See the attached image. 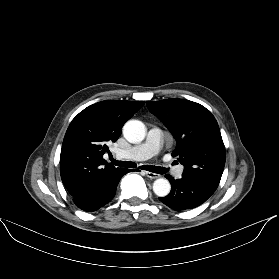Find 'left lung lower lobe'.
Returning a JSON list of instances; mask_svg holds the SVG:
<instances>
[{
  "label": "left lung lower lobe",
  "instance_id": "0a47b994",
  "mask_svg": "<svg viewBox=\"0 0 279 279\" xmlns=\"http://www.w3.org/2000/svg\"><path fill=\"white\" fill-rule=\"evenodd\" d=\"M172 185V190L166 197H160V201L174 210L195 208L204 203L215 190L203 183L187 176L175 180L172 176H165Z\"/></svg>",
  "mask_w": 279,
  "mask_h": 279
}]
</instances>
